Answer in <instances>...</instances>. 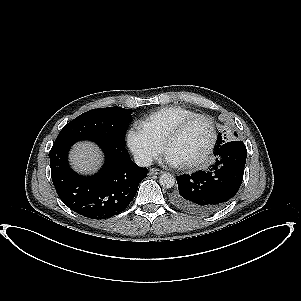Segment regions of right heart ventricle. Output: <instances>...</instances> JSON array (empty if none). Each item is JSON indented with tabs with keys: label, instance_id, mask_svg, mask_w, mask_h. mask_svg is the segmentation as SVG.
<instances>
[{
	"label": "right heart ventricle",
	"instance_id": "1",
	"mask_svg": "<svg viewBox=\"0 0 301 301\" xmlns=\"http://www.w3.org/2000/svg\"><path fill=\"white\" fill-rule=\"evenodd\" d=\"M195 115L194 111L183 107H166L147 116L141 126L151 137L163 142L166 135L180 122Z\"/></svg>",
	"mask_w": 301,
	"mask_h": 301
}]
</instances>
